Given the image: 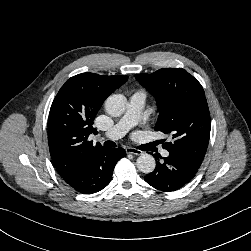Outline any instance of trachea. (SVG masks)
Returning <instances> with one entry per match:
<instances>
[{
    "instance_id": "1",
    "label": "trachea",
    "mask_w": 251,
    "mask_h": 251,
    "mask_svg": "<svg viewBox=\"0 0 251 251\" xmlns=\"http://www.w3.org/2000/svg\"><path fill=\"white\" fill-rule=\"evenodd\" d=\"M103 144L106 147H116V144L113 141H105Z\"/></svg>"
}]
</instances>
